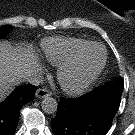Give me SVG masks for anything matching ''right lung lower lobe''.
Returning <instances> with one entry per match:
<instances>
[{
    "label": "right lung lower lobe",
    "mask_w": 135,
    "mask_h": 135,
    "mask_svg": "<svg viewBox=\"0 0 135 135\" xmlns=\"http://www.w3.org/2000/svg\"><path fill=\"white\" fill-rule=\"evenodd\" d=\"M36 86L24 85L0 103V135H13L19 120L20 108L33 100Z\"/></svg>",
    "instance_id": "obj_1"
}]
</instances>
